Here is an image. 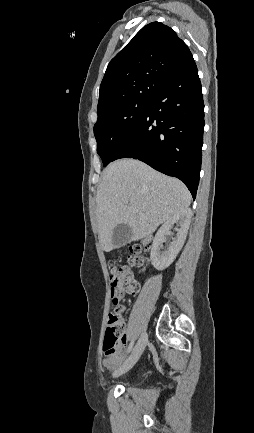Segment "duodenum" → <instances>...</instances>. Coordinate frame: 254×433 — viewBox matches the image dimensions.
<instances>
[{"label":"duodenum","instance_id":"1","mask_svg":"<svg viewBox=\"0 0 254 433\" xmlns=\"http://www.w3.org/2000/svg\"><path fill=\"white\" fill-rule=\"evenodd\" d=\"M151 237H146L145 239H144V243H148V242H150L151 241Z\"/></svg>","mask_w":254,"mask_h":433}]
</instances>
